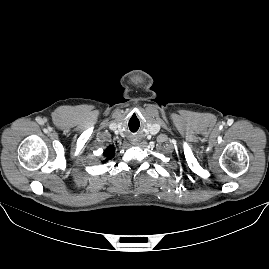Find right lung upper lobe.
I'll list each match as a JSON object with an SVG mask.
<instances>
[{
    "mask_svg": "<svg viewBox=\"0 0 269 269\" xmlns=\"http://www.w3.org/2000/svg\"><path fill=\"white\" fill-rule=\"evenodd\" d=\"M115 150L113 146H109L105 152H104V156L106 157V160L112 159L114 156Z\"/></svg>",
    "mask_w": 269,
    "mask_h": 269,
    "instance_id": "1",
    "label": "right lung upper lobe"
}]
</instances>
